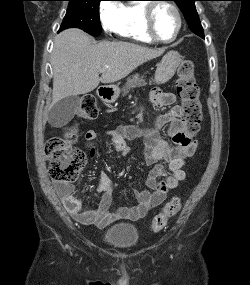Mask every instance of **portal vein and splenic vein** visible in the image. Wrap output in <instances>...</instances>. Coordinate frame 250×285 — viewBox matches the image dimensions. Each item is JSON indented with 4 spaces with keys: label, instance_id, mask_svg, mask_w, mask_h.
I'll use <instances>...</instances> for the list:
<instances>
[{
    "label": "portal vein and splenic vein",
    "instance_id": "portal-vein-and-splenic-vein-1",
    "mask_svg": "<svg viewBox=\"0 0 250 285\" xmlns=\"http://www.w3.org/2000/svg\"><path fill=\"white\" fill-rule=\"evenodd\" d=\"M107 68H108V67L102 68V69L100 70V72H101V73L104 72Z\"/></svg>",
    "mask_w": 250,
    "mask_h": 285
}]
</instances>
